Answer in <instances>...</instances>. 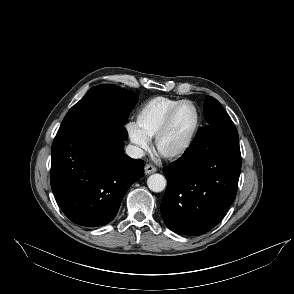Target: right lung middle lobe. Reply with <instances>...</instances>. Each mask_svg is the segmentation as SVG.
Here are the masks:
<instances>
[{"label":"right lung middle lobe","mask_w":294,"mask_h":294,"mask_svg":"<svg viewBox=\"0 0 294 294\" xmlns=\"http://www.w3.org/2000/svg\"><path fill=\"white\" fill-rule=\"evenodd\" d=\"M109 87L116 93L115 101L110 105L99 104L87 94L76 103L64 117L58 133L88 126H100L111 123L124 125L129 113L137 103L135 93L114 85Z\"/></svg>","instance_id":"1"}]
</instances>
